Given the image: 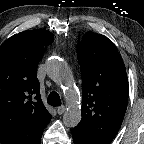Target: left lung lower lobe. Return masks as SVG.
<instances>
[{
  "mask_svg": "<svg viewBox=\"0 0 144 144\" xmlns=\"http://www.w3.org/2000/svg\"><path fill=\"white\" fill-rule=\"evenodd\" d=\"M72 136H73L74 144H110L109 142H100V141L91 140L85 137L79 131L74 129L72 130Z\"/></svg>",
  "mask_w": 144,
  "mask_h": 144,
  "instance_id": "1",
  "label": "left lung lower lobe"
}]
</instances>
